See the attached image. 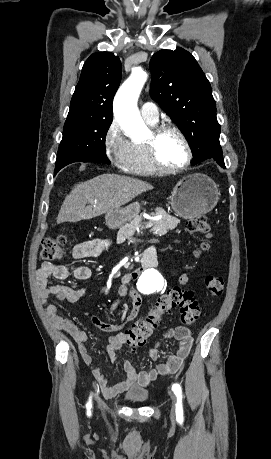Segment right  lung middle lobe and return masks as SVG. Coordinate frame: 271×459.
<instances>
[{"label":"right lung middle lobe","instance_id":"obj_1","mask_svg":"<svg viewBox=\"0 0 271 459\" xmlns=\"http://www.w3.org/2000/svg\"><path fill=\"white\" fill-rule=\"evenodd\" d=\"M112 120V116L68 115L58 149L56 166L79 159L109 164L105 151V137Z\"/></svg>","mask_w":271,"mask_h":459}]
</instances>
